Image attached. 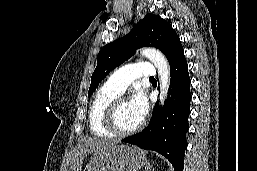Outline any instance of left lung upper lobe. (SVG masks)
Masks as SVG:
<instances>
[{"instance_id":"1","label":"left lung upper lobe","mask_w":257,"mask_h":171,"mask_svg":"<svg viewBox=\"0 0 257 171\" xmlns=\"http://www.w3.org/2000/svg\"><path fill=\"white\" fill-rule=\"evenodd\" d=\"M144 46L158 48L169 59L182 48L172 26L159 16L147 14L123 38L105 45L97 56L88 96L111 70L128 60L135 50Z\"/></svg>"}]
</instances>
